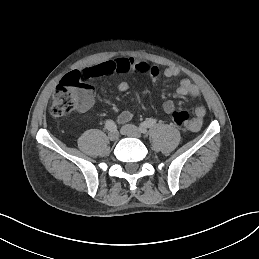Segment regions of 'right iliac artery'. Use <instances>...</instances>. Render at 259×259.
Returning a JSON list of instances; mask_svg holds the SVG:
<instances>
[{
	"instance_id": "1",
	"label": "right iliac artery",
	"mask_w": 259,
	"mask_h": 259,
	"mask_svg": "<svg viewBox=\"0 0 259 259\" xmlns=\"http://www.w3.org/2000/svg\"><path fill=\"white\" fill-rule=\"evenodd\" d=\"M105 127H106V129H108L110 131L116 130V124L112 120L106 121Z\"/></svg>"
}]
</instances>
